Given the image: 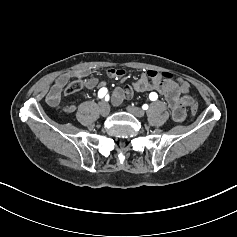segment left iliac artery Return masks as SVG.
Wrapping results in <instances>:
<instances>
[{
  "instance_id": "1",
  "label": "left iliac artery",
  "mask_w": 237,
  "mask_h": 237,
  "mask_svg": "<svg viewBox=\"0 0 237 237\" xmlns=\"http://www.w3.org/2000/svg\"><path fill=\"white\" fill-rule=\"evenodd\" d=\"M149 98H150V100L155 101V100H157L158 95H157V93H155V92H151V93L149 94ZM142 108H143L144 110H147V109H148V105H147V104H144V105L142 106Z\"/></svg>"
}]
</instances>
